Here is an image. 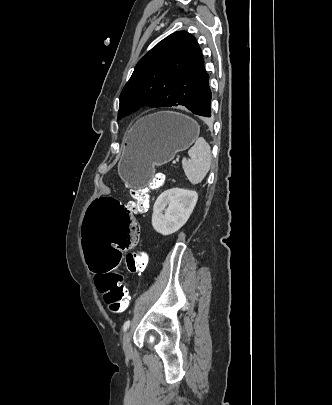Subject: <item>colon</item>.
Returning a JSON list of instances; mask_svg holds the SVG:
<instances>
[{
  "instance_id": "obj_1",
  "label": "colon",
  "mask_w": 332,
  "mask_h": 405,
  "mask_svg": "<svg viewBox=\"0 0 332 405\" xmlns=\"http://www.w3.org/2000/svg\"><path fill=\"white\" fill-rule=\"evenodd\" d=\"M163 182L164 177L157 175L151 186L159 187ZM130 195L133 210L145 212L148 209L147 188H134ZM82 234L86 268L91 273H97L96 283L110 312L122 313L128 306V290L123 283L122 273L117 271V268L124 266L121 257H125L126 268L132 274H140L147 267L145 253L126 254L128 249H136L141 236V227H137L134 211H129L120 197H96L94 202H89Z\"/></svg>"
}]
</instances>
